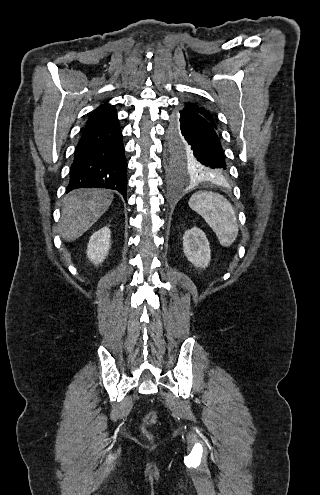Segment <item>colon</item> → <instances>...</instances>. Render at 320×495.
<instances>
[{
    "label": "colon",
    "mask_w": 320,
    "mask_h": 495,
    "mask_svg": "<svg viewBox=\"0 0 320 495\" xmlns=\"http://www.w3.org/2000/svg\"><path fill=\"white\" fill-rule=\"evenodd\" d=\"M156 421H157V415L155 412H150L145 416V418L142 421V431L145 435L149 436L146 427L155 424Z\"/></svg>",
    "instance_id": "5ec220e1"
}]
</instances>
